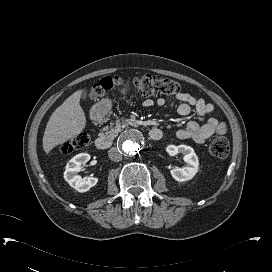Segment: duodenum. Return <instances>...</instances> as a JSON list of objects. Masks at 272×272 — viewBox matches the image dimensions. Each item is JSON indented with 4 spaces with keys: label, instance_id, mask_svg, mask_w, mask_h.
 <instances>
[{
    "label": "duodenum",
    "instance_id": "1",
    "mask_svg": "<svg viewBox=\"0 0 272 272\" xmlns=\"http://www.w3.org/2000/svg\"><path fill=\"white\" fill-rule=\"evenodd\" d=\"M106 112H107V109L104 106H97L91 110L90 119L94 123H99V122H101V120ZM148 136L152 140H159L162 137V132L160 129L153 127L149 130ZM111 144H112L111 138L107 135H100L97 137V139L95 141V146L99 150H106L111 146Z\"/></svg>",
    "mask_w": 272,
    "mask_h": 272
}]
</instances>
